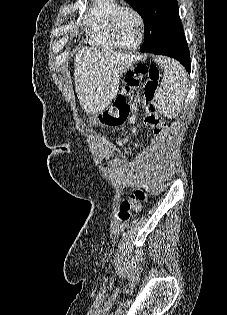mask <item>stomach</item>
Here are the masks:
<instances>
[{"mask_svg": "<svg viewBox=\"0 0 227 315\" xmlns=\"http://www.w3.org/2000/svg\"><path fill=\"white\" fill-rule=\"evenodd\" d=\"M97 121L100 122L99 119H98V117H97Z\"/></svg>", "mask_w": 227, "mask_h": 315, "instance_id": "stomach-1", "label": "stomach"}]
</instances>
